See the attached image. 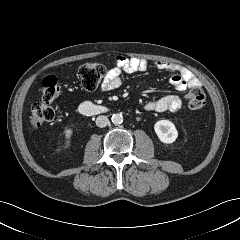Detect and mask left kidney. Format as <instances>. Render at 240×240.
Instances as JSON below:
<instances>
[{
    "instance_id": "left-kidney-1",
    "label": "left kidney",
    "mask_w": 240,
    "mask_h": 240,
    "mask_svg": "<svg viewBox=\"0 0 240 240\" xmlns=\"http://www.w3.org/2000/svg\"><path fill=\"white\" fill-rule=\"evenodd\" d=\"M155 133L163 143H173L178 137L175 125L169 120H159L154 125Z\"/></svg>"
}]
</instances>
